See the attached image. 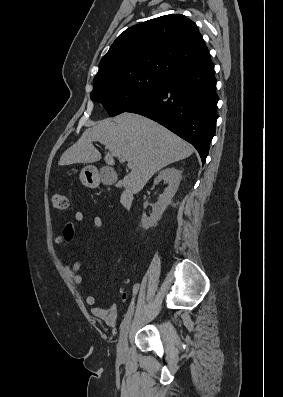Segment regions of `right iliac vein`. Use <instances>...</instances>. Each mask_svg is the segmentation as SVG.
Segmentation results:
<instances>
[{
    "mask_svg": "<svg viewBox=\"0 0 283 397\" xmlns=\"http://www.w3.org/2000/svg\"><path fill=\"white\" fill-rule=\"evenodd\" d=\"M130 324H131V317L129 318V320L125 324V326H124V328H123V330L121 331V334H120V339H119V343H118V346H117V357L120 360L125 359L126 356H127V349H128L127 337H128Z\"/></svg>",
    "mask_w": 283,
    "mask_h": 397,
    "instance_id": "63e3f726",
    "label": "right iliac vein"
}]
</instances>
